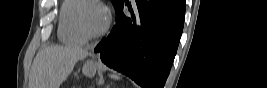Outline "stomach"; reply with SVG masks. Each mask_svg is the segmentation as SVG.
<instances>
[{"label":"stomach","instance_id":"1","mask_svg":"<svg viewBox=\"0 0 267 88\" xmlns=\"http://www.w3.org/2000/svg\"><path fill=\"white\" fill-rule=\"evenodd\" d=\"M97 68H98L97 63L89 60L83 65L82 72L84 75L88 77H93L96 73Z\"/></svg>","mask_w":267,"mask_h":88}]
</instances>
